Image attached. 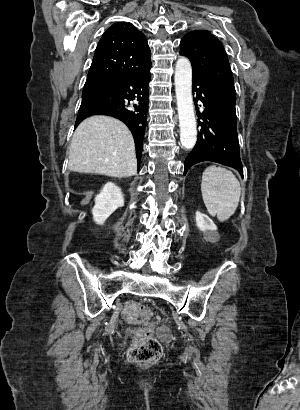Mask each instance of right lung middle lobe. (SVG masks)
Wrapping results in <instances>:
<instances>
[{
  "mask_svg": "<svg viewBox=\"0 0 300 410\" xmlns=\"http://www.w3.org/2000/svg\"><path fill=\"white\" fill-rule=\"evenodd\" d=\"M103 85L102 83H95V82H86L83 88V91L91 90Z\"/></svg>",
  "mask_w": 300,
  "mask_h": 410,
  "instance_id": "right-lung-middle-lobe-1",
  "label": "right lung middle lobe"
}]
</instances>
